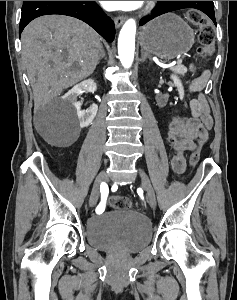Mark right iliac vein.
I'll return each mask as SVG.
<instances>
[{
  "label": "right iliac vein",
  "mask_w": 237,
  "mask_h": 300,
  "mask_svg": "<svg viewBox=\"0 0 237 300\" xmlns=\"http://www.w3.org/2000/svg\"><path fill=\"white\" fill-rule=\"evenodd\" d=\"M106 178H107V175H106L105 171L100 172L99 175L97 176V178L94 182L93 188H92L90 199H89L90 206H94L97 203L99 187L102 183H105Z\"/></svg>",
  "instance_id": "obj_1"
}]
</instances>
